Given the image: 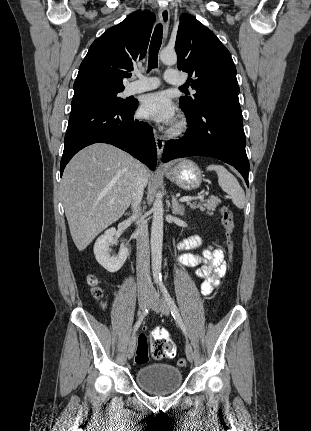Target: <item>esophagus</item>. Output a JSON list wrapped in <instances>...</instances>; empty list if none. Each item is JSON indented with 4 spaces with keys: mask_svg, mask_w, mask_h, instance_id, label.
Masks as SVG:
<instances>
[{
    "mask_svg": "<svg viewBox=\"0 0 311 431\" xmlns=\"http://www.w3.org/2000/svg\"><path fill=\"white\" fill-rule=\"evenodd\" d=\"M158 15H159V19L163 25V39L166 40L167 35H168V29H169L170 12H169L167 7H161L159 9ZM154 138H155V142H156L157 155H158V158H160L162 153H163L165 141L162 138V136H160L156 132V130H154Z\"/></svg>",
    "mask_w": 311,
    "mask_h": 431,
    "instance_id": "obj_1",
    "label": "esophagus"
}]
</instances>
